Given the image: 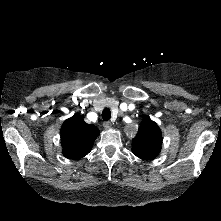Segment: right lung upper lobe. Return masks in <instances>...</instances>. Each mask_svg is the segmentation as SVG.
I'll list each match as a JSON object with an SVG mask.
<instances>
[{
    "mask_svg": "<svg viewBox=\"0 0 221 221\" xmlns=\"http://www.w3.org/2000/svg\"><path fill=\"white\" fill-rule=\"evenodd\" d=\"M99 134L97 127L85 123L79 114H75L67 119L61 128L63 155L69 159L84 157L91 151Z\"/></svg>",
    "mask_w": 221,
    "mask_h": 221,
    "instance_id": "cb5924a9",
    "label": "right lung upper lobe"
}]
</instances>
